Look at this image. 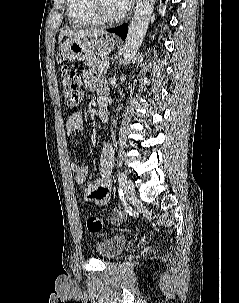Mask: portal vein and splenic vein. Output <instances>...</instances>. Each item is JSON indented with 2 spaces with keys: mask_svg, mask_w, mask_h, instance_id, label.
<instances>
[{
  "mask_svg": "<svg viewBox=\"0 0 239 303\" xmlns=\"http://www.w3.org/2000/svg\"><path fill=\"white\" fill-rule=\"evenodd\" d=\"M103 65H104V67L108 68V67H109V61H105V62L103 63Z\"/></svg>",
  "mask_w": 239,
  "mask_h": 303,
  "instance_id": "obj_1",
  "label": "portal vein and splenic vein"
}]
</instances>
